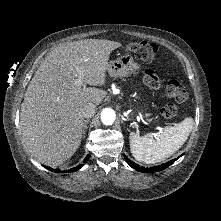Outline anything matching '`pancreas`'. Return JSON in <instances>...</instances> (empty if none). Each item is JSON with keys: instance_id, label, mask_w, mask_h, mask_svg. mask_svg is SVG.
Listing matches in <instances>:
<instances>
[{"instance_id": "pancreas-1", "label": "pancreas", "mask_w": 221, "mask_h": 221, "mask_svg": "<svg viewBox=\"0 0 221 221\" xmlns=\"http://www.w3.org/2000/svg\"><path fill=\"white\" fill-rule=\"evenodd\" d=\"M146 116H150V114L147 113Z\"/></svg>"}]
</instances>
